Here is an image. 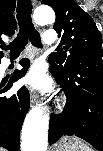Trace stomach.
I'll list each match as a JSON object with an SVG mask.
<instances>
[{"label": "stomach", "instance_id": "1", "mask_svg": "<svg viewBox=\"0 0 103 151\" xmlns=\"http://www.w3.org/2000/svg\"><path fill=\"white\" fill-rule=\"evenodd\" d=\"M80 145L74 140V138L64 137L60 140L54 151H80Z\"/></svg>", "mask_w": 103, "mask_h": 151}]
</instances>
